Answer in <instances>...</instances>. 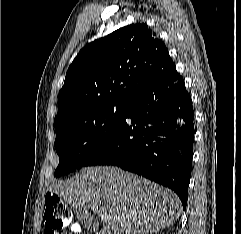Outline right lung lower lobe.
Segmentation results:
<instances>
[{"label": "right lung lower lobe", "instance_id": "right-lung-lower-lobe-1", "mask_svg": "<svg viewBox=\"0 0 241 234\" xmlns=\"http://www.w3.org/2000/svg\"><path fill=\"white\" fill-rule=\"evenodd\" d=\"M193 107L173 64L135 97L108 142L85 164L115 165L171 188L186 208L193 156Z\"/></svg>", "mask_w": 241, "mask_h": 234}]
</instances>
